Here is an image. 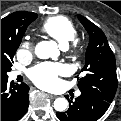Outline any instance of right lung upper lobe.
I'll use <instances>...</instances> for the list:
<instances>
[{"label": "right lung upper lobe", "mask_w": 121, "mask_h": 121, "mask_svg": "<svg viewBox=\"0 0 121 121\" xmlns=\"http://www.w3.org/2000/svg\"><path fill=\"white\" fill-rule=\"evenodd\" d=\"M35 16H37L35 13L18 11L1 19V53L7 54L10 50L9 45L3 41L5 34L17 25L34 19Z\"/></svg>", "instance_id": "obj_1"}]
</instances>
